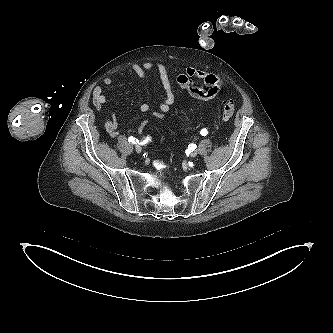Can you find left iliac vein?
Returning <instances> with one entry per match:
<instances>
[{
	"mask_svg": "<svg viewBox=\"0 0 333 333\" xmlns=\"http://www.w3.org/2000/svg\"><path fill=\"white\" fill-rule=\"evenodd\" d=\"M197 154H198V152H197V150H193V151H191V153H190V157H196L197 156Z\"/></svg>",
	"mask_w": 333,
	"mask_h": 333,
	"instance_id": "left-iliac-vein-1",
	"label": "left iliac vein"
}]
</instances>
